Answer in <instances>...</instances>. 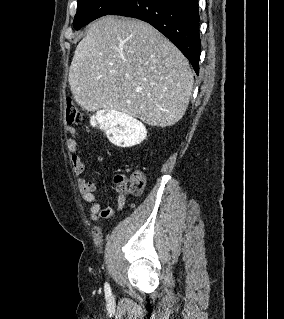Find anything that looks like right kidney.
Wrapping results in <instances>:
<instances>
[{"mask_svg":"<svg viewBox=\"0 0 284 319\" xmlns=\"http://www.w3.org/2000/svg\"><path fill=\"white\" fill-rule=\"evenodd\" d=\"M92 126L100 125L111 143L119 147L140 144L147 136L143 123L126 113L110 110L98 111L90 118Z\"/></svg>","mask_w":284,"mask_h":319,"instance_id":"right-kidney-1","label":"right kidney"}]
</instances>
